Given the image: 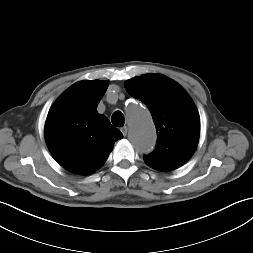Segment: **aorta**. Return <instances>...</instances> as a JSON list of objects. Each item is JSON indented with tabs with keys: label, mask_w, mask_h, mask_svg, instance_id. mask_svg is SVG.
Returning <instances> with one entry per match:
<instances>
[{
	"label": "aorta",
	"mask_w": 253,
	"mask_h": 253,
	"mask_svg": "<svg viewBox=\"0 0 253 253\" xmlns=\"http://www.w3.org/2000/svg\"><path fill=\"white\" fill-rule=\"evenodd\" d=\"M129 138L135 149L142 153H150L156 142V131L148 111L138 103L128 106Z\"/></svg>",
	"instance_id": "1"
}]
</instances>
